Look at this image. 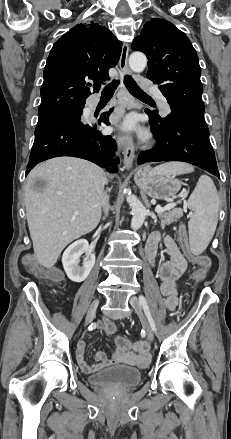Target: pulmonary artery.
<instances>
[{
  "instance_id": "e3ab8cb5",
  "label": "pulmonary artery",
  "mask_w": 231,
  "mask_h": 439,
  "mask_svg": "<svg viewBox=\"0 0 231 439\" xmlns=\"http://www.w3.org/2000/svg\"><path fill=\"white\" fill-rule=\"evenodd\" d=\"M149 91L154 94L155 96H157V98L159 99L160 105L162 107L163 113L164 114H168L170 113V107L169 104L167 103V100L165 99V97L162 95V93L155 87H149Z\"/></svg>"
}]
</instances>
